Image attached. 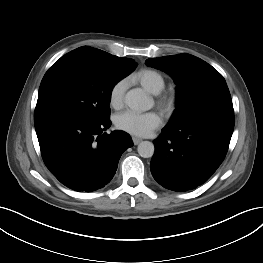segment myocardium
<instances>
[{"label": "myocardium", "instance_id": "obj_1", "mask_svg": "<svg viewBox=\"0 0 263 263\" xmlns=\"http://www.w3.org/2000/svg\"><path fill=\"white\" fill-rule=\"evenodd\" d=\"M176 96L174 94H163L158 100L157 104L165 114H171L176 107Z\"/></svg>", "mask_w": 263, "mask_h": 263}]
</instances>
